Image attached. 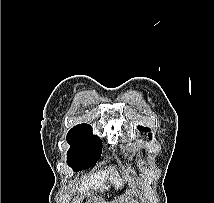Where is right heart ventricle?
I'll use <instances>...</instances> for the list:
<instances>
[{
	"mask_svg": "<svg viewBox=\"0 0 214 203\" xmlns=\"http://www.w3.org/2000/svg\"><path fill=\"white\" fill-rule=\"evenodd\" d=\"M125 149L127 151H133V152H136L138 150V145H137V142L136 141H133V140H130L127 144V146L125 147Z\"/></svg>",
	"mask_w": 214,
	"mask_h": 203,
	"instance_id": "obj_1",
	"label": "right heart ventricle"
}]
</instances>
